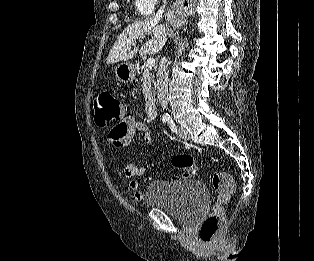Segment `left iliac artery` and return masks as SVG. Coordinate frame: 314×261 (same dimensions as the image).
<instances>
[{"mask_svg": "<svg viewBox=\"0 0 314 261\" xmlns=\"http://www.w3.org/2000/svg\"><path fill=\"white\" fill-rule=\"evenodd\" d=\"M168 123H169V126H170L171 130H172L174 133H177L178 130H177V127H176L175 123L173 122V120H172V119H169V120H168Z\"/></svg>", "mask_w": 314, "mask_h": 261, "instance_id": "left-iliac-artery-1", "label": "left iliac artery"}]
</instances>
